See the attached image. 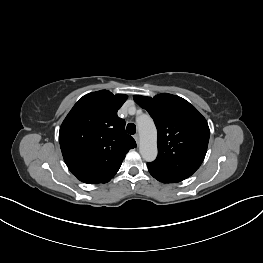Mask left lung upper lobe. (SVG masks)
I'll return each mask as SVG.
<instances>
[{"instance_id": "left-lung-upper-lobe-1", "label": "left lung upper lobe", "mask_w": 263, "mask_h": 263, "mask_svg": "<svg viewBox=\"0 0 263 263\" xmlns=\"http://www.w3.org/2000/svg\"><path fill=\"white\" fill-rule=\"evenodd\" d=\"M134 101L149 112L158 131V156L147 163L149 171L177 181L191 176L206 155L210 136L206 119L185 99L172 94L134 95Z\"/></svg>"}]
</instances>
